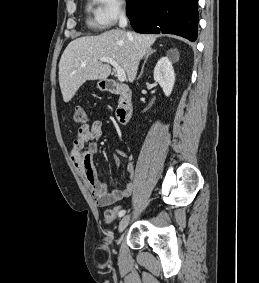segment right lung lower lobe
I'll return each mask as SVG.
<instances>
[{
  "mask_svg": "<svg viewBox=\"0 0 259 283\" xmlns=\"http://www.w3.org/2000/svg\"><path fill=\"white\" fill-rule=\"evenodd\" d=\"M198 0H127V16L139 33L176 34L195 41Z\"/></svg>",
  "mask_w": 259,
  "mask_h": 283,
  "instance_id": "obj_1",
  "label": "right lung lower lobe"
}]
</instances>
